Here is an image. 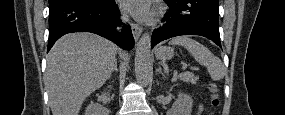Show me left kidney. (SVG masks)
Listing matches in <instances>:
<instances>
[{
	"label": "left kidney",
	"mask_w": 285,
	"mask_h": 115,
	"mask_svg": "<svg viewBox=\"0 0 285 115\" xmlns=\"http://www.w3.org/2000/svg\"><path fill=\"white\" fill-rule=\"evenodd\" d=\"M193 106L192 97L179 92L178 99L174 102L167 115H191Z\"/></svg>",
	"instance_id": "1"
}]
</instances>
